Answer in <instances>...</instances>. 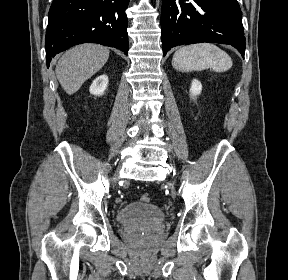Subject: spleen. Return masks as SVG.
I'll use <instances>...</instances> for the list:
<instances>
[{"label":"spleen","mask_w":288,"mask_h":280,"mask_svg":"<svg viewBox=\"0 0 288 280\" xmlns=\"http://www.w3.org/2000/svg\"><path fill=\"white\" fill-rule=\"evenodd\" d=\"M231 57L214 44L200 43L179 48L173 55L172 66L182 72L212 69L224 72L232 67Z\"/></svg>","instance_id":"1"}]
</instances>
